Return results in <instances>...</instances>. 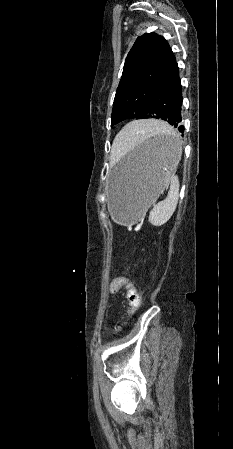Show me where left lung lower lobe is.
Returning <instances> with one entry per match:
<instances>
[{
	"label": "left lung lower lobe",
	"instance_id": "1",
	"mask_svg": "<svg viewBox=\"0 0 233 449\" xmlns=\"http://www.w3.org/2000/svg\"><path fill=\"white\" fill-rule=\"evenodd\" d=\"M182 87L179 69L167 80L151 101L145 118H156L167 121L183 133L182 116Z\"/></svg>",
	"mask_w": 233,
	"mask_h": 449
}]
</instances>
